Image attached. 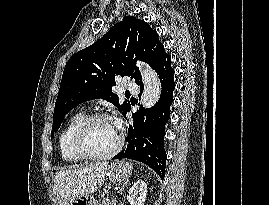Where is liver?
Listing matches in <instances>:
<instances>
[{
    "label": "liver",
    "instance_id": "6515ba94",
    "mask_svg": "<svg viewBox=\"0 0 269 205\" xmlns=\"http://www.w3.org/2000/svg\"><path fill=\"white\" fill-rule=\"evenodd\" d=\"M107 165L102 162L58 172L54 188L59 205H70L75 199L94 193L105 180Z\"/></svg>",
    "mask_w": 269,
    "mask_h": 205
}]
</instances>
